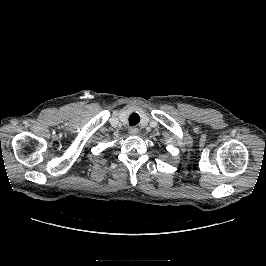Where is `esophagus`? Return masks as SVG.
I'll return each mask as SVG.
<instances>
[{"label":"esophagus","instance_id":"esophagus-1","mask_svg":"<svg viewBox=\"0 0 266 266\" xmlns=\"http://www.w3.org/2000/svg\"><path fill=\"white\" fill-rule=\"evenodd\" d=\"M139 133V129L136 128V127H130L129 128V134L132 135V136H135Z\"/></svg>","mask_w":266,"mask_h":266}]
</instances>
